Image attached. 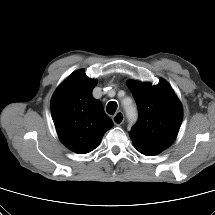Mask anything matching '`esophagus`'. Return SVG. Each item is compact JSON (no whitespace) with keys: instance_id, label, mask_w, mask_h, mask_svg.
<instances>
[{"instance_id":"34e87169","label":"esophagus","mask_w":215,"mask_h":215,"mask_svg":"<svg viewBox=\"0 0 215 215\" xmlns=\"http://www.w3.org/2000/svg\"><path fill=\"white\" fill-rule=\"evenodd\" d=\"M112 120L115 125H121L124 122V114L121 111H118L113 117Z\"/></svg>"}]
</instances>
